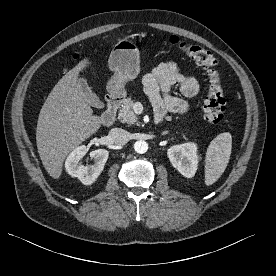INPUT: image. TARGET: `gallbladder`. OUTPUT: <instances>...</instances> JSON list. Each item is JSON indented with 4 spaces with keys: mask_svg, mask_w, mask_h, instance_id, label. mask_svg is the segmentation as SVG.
I'll return each mask as SVG.
<instances>
[{
    "mask_svg": "<svg viewBox=\"0 0 276 276\" xmlns=\"http://www.w3.org/2000/svg\"><path fill=\"white\" fill-rule=\"evenodd\" d=\"M77 82L84 99L92 106L98 105L99 98L92 92L87 81L84 78H79Z\"/></svg>",
    "mask_w": 276,
    "mask_h": 276,
    "instance_id": "obj_1",
    "label": "gallbladder"
}]
</instances>
